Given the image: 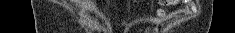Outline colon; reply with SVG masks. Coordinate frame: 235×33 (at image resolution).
Masks as SVG:
<instances>
[{"label": "colon", "instance_id": "colon-1", "mask_svg": "<svg viewBox=\"0 0 235 33\" xmlns=\"http://www.w3.org/2000/svg\"><path fill=\"white\" fill-rule=\"evenodd\" d=\"M162 3L164 5H172V4H175L176 3V0H164L162 1ZM160 14H163L164 13V10H160L159 11Z\"/></svg>", "mask_w": 235, "mask_h": 33}]
</instances>
